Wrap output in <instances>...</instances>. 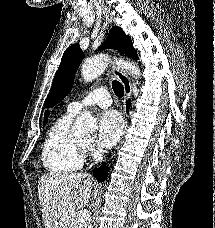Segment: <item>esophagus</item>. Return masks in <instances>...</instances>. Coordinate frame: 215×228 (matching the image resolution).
<instances>
[{
  "label": "esophagus",
  "mask_w": 215,
  "mask_h": 228,
  "mask_svg": "<svg viewBox=\"0 0 215 228\" xmlns=\"http://www.w3.org/2000/svg\"><path fill=\"white\" fill-rule=\"evenodd\" d=\"M112 73L115 78L119 80V82L123 85L126 99H130L132 96V84L130 78L124 71L117 68L116 65L113 66Z\"/></svg>",
  "instance_id": "obj_1"
}]
</instances>
